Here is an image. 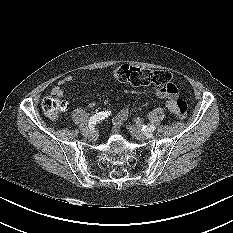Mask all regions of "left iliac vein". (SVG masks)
Listing matches in <instances>:
<instances>
[{
	"label": "left iliac vein",
	"instance_id": "1",
	"mask_svg": "<svg viewBox=\"0 0 233 233\" xmlns=\"http://www.w3.org/2000/svg\"><path fill=\"white\" fill-rule=\"evenodd\" d=\"M127 129L138 140H145L153 137V133L151 131L144 132L132 125H127Z\"/></svg>",
	"mask_w": 233,
	"mask_h": 233
}]
</instances>
